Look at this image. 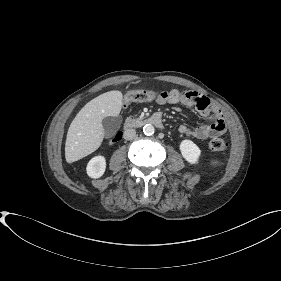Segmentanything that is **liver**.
Listing matches in <instances>:
<instances>
[{"instance_id": "6515ba94", "label": "liver", "mask_w": 281, "mask_h": 281, "mask_svg": "<svg viewBox=\"0 0 281 281\" xmlns=\"http://www.w3.org/2000/svg\"><path fill=\"white\" fill-rule=\"evenodd\" d=\"M123 95L113 90L89 101L71 122L65 143L68 163L78 161L96 151L104 138L102 120L116 117L122 109Z\"/></svg>"}]
</instances>
